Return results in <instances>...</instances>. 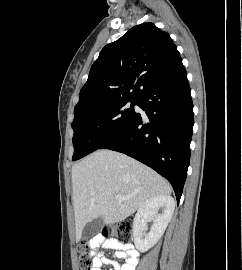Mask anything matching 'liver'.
<instances>
[{"label": "liver", "instance_id": "6515ba94", "mask_svg": "<svg viewBox=\"0 0 242 270\" xmlns=\"http://www.w3.org/2000/svg\"><path fill=\"white\" fill-rule=\"evenodd\" d=\"M72 186L77 242L93 219L101 217L107 225L123 221L149 198L172 191L155 171L112 150L95 151L74 164Z\"/></svg>", "mask_w": 242, "mask_h": 270}]
</instances>
